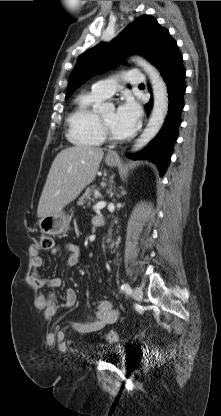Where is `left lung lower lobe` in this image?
I'll list each match as a JSON object with an SVG mask.
<instances>
[{
    "label": "left lung lower lobe",
    "mask_w": 221,
    "mask_h": 416,
    "mask_svg": "<svg viewBox=\"0 0 221 416\" xmlns=\"http://www.w3.org/2000/svg\"><path fill=\"white\" fill-rule=\"evenodd\" d=\"M150 62L160 71L167 84L169 107L163 127L155 139L140 153L128 156L133 159H149L154 162L162 176L170 162L173 145L177 140L178 127L181 124V112L184 107L183 96L185 69L182 66V55L176 42L167 31L161 38ZM153 99L145 105L147 113L151 110Z\"/></svg>",
    "instance_id": "obj_1"
}]
</instances>
